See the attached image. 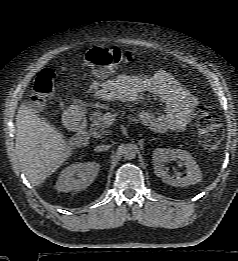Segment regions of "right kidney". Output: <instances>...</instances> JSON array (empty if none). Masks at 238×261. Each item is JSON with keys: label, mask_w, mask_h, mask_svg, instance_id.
<instances>
[{"label": "right kidney", "mask_w": 238, "mask_h": 261, "mask_svg": "<svg viewBox=\"0 0 238 261\" xmlns=\"http://www.w3.org/2000/svg\"><path fill=\"white\" fill-rule=\"evenodd\" d=\"M99 169L100 164L93 161L67 166L60 173L56 188L60 192L85 189L94 181Z\"/></svg>", "instance_id": "ca27d5eb"}]
</instances>
